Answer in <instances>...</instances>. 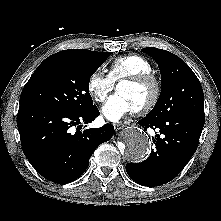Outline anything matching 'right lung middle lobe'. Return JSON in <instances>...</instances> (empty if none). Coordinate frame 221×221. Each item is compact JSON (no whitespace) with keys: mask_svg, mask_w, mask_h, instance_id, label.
I'll list each match as a JSON object with an SVG mask.
<instances>
[{"mask_svg":"<svg viewBox=\"0 0 221 221\" xmlns=\"http://www.w3.org/2000/svg\"><path fill=\"white\" fill-rule=\"evenodd\" d=\"M110 55L99 52L89 60L49 56L24 86L20 105H43L73 113L91 109L95 105L89 93L90 77Z\"/></svg>","mask_w":221,"mask_h":221,"instance_id":"dd1d6c3e","label":"right lung middle lobe"}]
</instances>
